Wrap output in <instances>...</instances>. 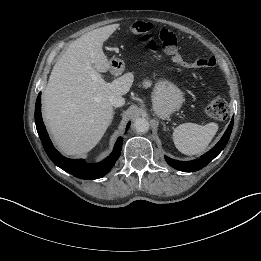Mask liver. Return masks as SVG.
Listing matches in <instances>:
<instances>
[{
	"label": "liver",
	"mask_w": 261,
	"mask_h": 261,
	"mask_svg": "<svg viewBox=\"0 0 261 261\" xmlns=\"http://www.w3.org/2000/svg\"><path fill=\"white\" fill-rule=\"evenodd\" d=\"M108 27L90 31L69 45L54 65L44 90L43 116L59 149L81 155L101 140L113 119L112 95H125L133 75L107 83L100 73L110 63L102 50Z\"/></svg>",
	"instance_id": "obj_1"
}]
</instances>
